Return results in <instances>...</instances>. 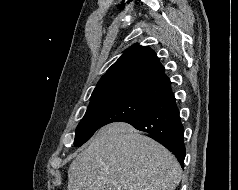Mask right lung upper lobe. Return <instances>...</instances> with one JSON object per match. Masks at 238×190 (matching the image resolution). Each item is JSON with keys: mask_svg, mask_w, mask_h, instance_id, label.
I'll list each match as a JSON object with an SVG mask.
<instances>
[{"mask_svg": "<svg viewBox=\"0 0 238 190\" xmlns=\"http://www.w3.org/2000/svg\"><path fill=\"white\" fill-rule=\"evenodd\" d=\"M170 92V79L165 75L155 52L147 46L135 44L102 76L91 95V101L127 95L154 104Z\"/></svg>", "mask_w": 238, "mask_h": 190, "instance_id": "right-lung-upper-lobe-1", "label": "right lung upper lobe"}]
</instances>
